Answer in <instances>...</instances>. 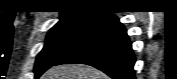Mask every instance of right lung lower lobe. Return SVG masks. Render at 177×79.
I'll list each match as a JSON object with an SVG mask.
<instances>
[{
  "instance_id": "right-lung-lower-lobe-1",
  "label": "right lung lower lobe",
  "mask_w": 177,
  "mask_h": 79,
  "mask_svg": "<svg viewBox=\"0 0 177 79\" xmlns=\"http://www.w3.org/2000/svg\"><path fill=\"white\" fill-rule=\"evenodd\" d=\"M82 63L91 65L113 79H135V57L126 29L112 14L55 65Z\"/></svg>"
}]
</instances>
